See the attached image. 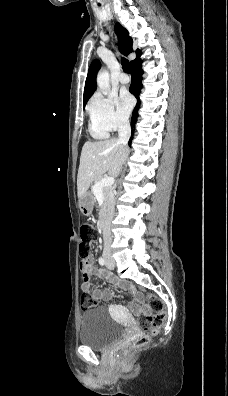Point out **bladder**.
Instances as JSON below:
<instances>
[{
  "label": "bladder",
  "mask_w": 228,
  "mask_h": 396,
  "mask_svg": "<svg viewBox=\"0 0 228 396\" xmlns=\"http://www.w3.org/2000/svg\"><path fill=\"white\" fill-rule=\"evenodd\" d=\"M126 328L112 320L104 308L87 310L81 316L79 340L94 350H104L119 341Z\"/></svg>",
  "instance_id": "obj_1"
}]
</instances>
